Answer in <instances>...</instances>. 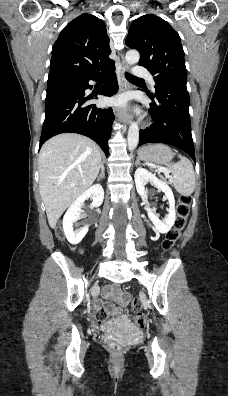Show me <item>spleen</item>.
Wrapping results in <instances>:
<instances>
[{"label": "spleen", "mask_w": 228, "mask_h": 396, "mask_svg": "<svg viewBox=\"0 0 228 396\" xmlns=\"http://www.w3.org/2000/svg\"><path fill=\"white\" fill-rule=\"evenodd\" d=\"M180 161L169 164L172 173V183L181 195L188 197L195 189V174L192 163L184 156L179 155Z\"/></svg>", "instance_id": "3e777b00"}]
</instances>
